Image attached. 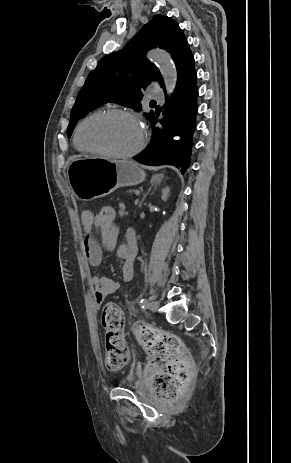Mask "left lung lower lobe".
<instances>
[{
    "label": "left lung lower lobe",
    "mask_w": 291,
    "mask_h": 463,
    "mask_svg": "<svg viewBox=\"0 0 291 463\" xmlns=\"http://www.w3.org/2000/svg\"><path fill=\"white\" fill-rule=\"evenodd\" d=\"M195 69L185 73L177 80L175 91L170 98L166 97L164 105L165 118L157 120L153 113L150 117L152 139L147 148L134 159L145 165H173L187 170L191 162L193 134L196 128L198 112ZM159 122L163 128L156 127ZM180 137L173 140V137Z\"/></svg>",
    "instance_id": "left-lung-lower-lobe-1"
}]
</instances>
